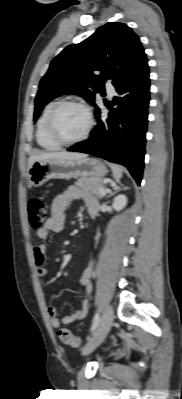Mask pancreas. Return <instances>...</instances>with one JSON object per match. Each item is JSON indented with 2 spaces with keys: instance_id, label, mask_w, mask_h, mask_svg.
I'll return each instance as SVG.
<instances>
[{
  "instance_id": "1",
  "label": "pancreas",
  "mask_w": 182,
  "mask_h": 399,
  "mask_svg": "<svg viewBox=\"0 0 182 399\" xmlns=\"http://www.w3.org/2000/svg\"><path fill=\"white\" fill-rule=\"evenodd\" d=\"M75 185L85 191L92 192L98 198L103 197V195L100 193V189L104 188V180L102 178L82 177L77 180Z\"/></svg>"
}]
</instances>
